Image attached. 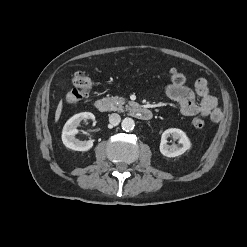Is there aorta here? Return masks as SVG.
<instances>
[{
	"instance_id": "obj_1",
	"label": "aorta",
	"mask_w": 247,
	"mask_h": 247,
	"mask_svg": "<svg viewBox=\"0 0 247 247\" xmlns=\"http://www.w3.org/2000/svg\"><path fill=\"white\" fill-rule=\"evenodd\" d=\"M122 129L125 131H131L134 129L135 123L132 118H125L122 121Z\"/></svg>"
}]
</instances>
